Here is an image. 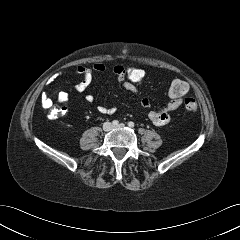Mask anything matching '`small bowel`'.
<instances>
[{
	"mask_svg": "<svg viewBox=\"0 0 240 240\" xmlns=\"http://www.w3.org/2000/svg\"><path fill=\"white\" fill-rule=\"evenodd\" d=\"M105 71V65L102 62H95L92 67L84 65H77L74 68V72L82 77L81 81L75 84L74 90L78 93L85 92L93 80V74H101ZM112 72L117 81L124 87L128 92L140 97V103L144 108H151V101L149 98L141 96L136 86L131 84L125 77L124 66L122 64H116ZM69 96L66 92H59L57 95V101L65 105L68 103ZM85 100L89 103L94 101V96L90 93L85 95ZM41 104L44 108H50L52 106V100L46 94L41 96ZM183 104V98H170V100L163 106L158 108H151L149 111V119L156 126H163L168 124L171 120V113L177 110ZM65 109L64 107L62 108ZM97 110L101 114H113L116 111L115 107H107L99 105Z\"/></svg>",
	"mask_w": 240,
	"mask_h": 240,
	"instance_id": "c3829d8e",
	"label": "small bowel"
}]
</instances>
